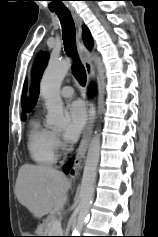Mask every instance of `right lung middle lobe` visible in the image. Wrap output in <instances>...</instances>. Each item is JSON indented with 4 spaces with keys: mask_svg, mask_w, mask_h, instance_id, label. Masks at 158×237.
<instances>
[{
    "mask_svg": "<svg viewBox=\"0 0 158 237\" xmlns=\"http://www.w3.org/2000/svg\"><path fill=\"white\" fill-rule=\"evenodd\" d=\"M23 121L25 120V116H22V118H21Z\"/></svg>",
    "mask_w": 158,
    "mask_h": 237,
    "instance_id": "dd1d6c3e",
    "label": "right lung middle lobe"
}]
</instances>
